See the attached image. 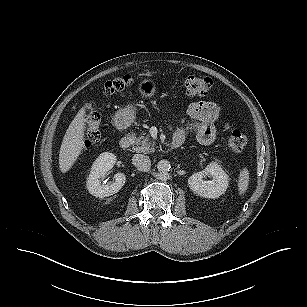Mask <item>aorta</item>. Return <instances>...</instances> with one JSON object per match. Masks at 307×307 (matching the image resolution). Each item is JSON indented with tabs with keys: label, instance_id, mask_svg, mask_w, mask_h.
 <instances>
[{
	"label": "aorta",
	"instance_id": "aorta-1",
	"mask_svg": "<svg viewBox=\"0 0 307 307\" xmlns=\"http://www.w3.org/2000/svg\"><path fill=\"white\" fill-rule=\"evenodd\" d=\"M157 168L160 173H167L171 169V165L167 160H160L157 164Z\"/></svg>",
	"mask_w": 307,
	"mask_h": 307
}]
</instances>
